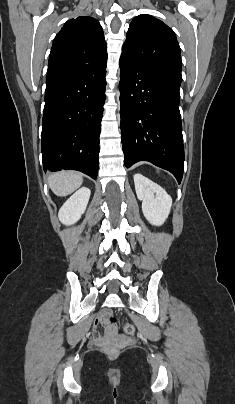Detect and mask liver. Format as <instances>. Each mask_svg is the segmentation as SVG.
Segmentation results:
<instances>
[{
	"label": "liver",
	"mask_w": 235,
	"mask_h": 404,
	"mask_svg": "<svg viewBox=\"0 0 235 404\" xmlns=\"http://www.w3.org/2000/svg\"><path fill=\"white\" fill-rule=\"evenodd\" d=\"M83 182L82 174L74 171H60L49 176L48 184L57 196H67L78 189Z\"/></svg>",
	"instance_id": "liver-1"
}]
</instances>
